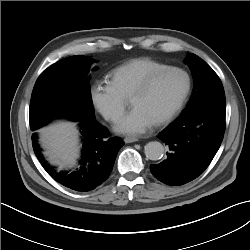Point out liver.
<instances>
[{
	"label": "liver",
	"mask_w": 250,
	"mask_h": 250,
	"mask_svg": "<svg viewBox=\"0 0 250 250\" xmlns=\"http://www.w3.org/2000/svg\"><path fill=\"white\" fill-rule=\"evenodd\" d=\"M41 141L52 163L72 166L78 157V131L75 123L59 122L41 130Z\"/></svg>",
	"instance_id": "liver-1"
}]
</instances>
